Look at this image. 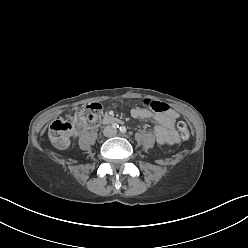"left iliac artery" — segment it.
I'll use <instances>...</instances> for the list:
<instances>
[{
	"mask_svg": "<svg viewBox=\"0 0 248 248\" xmlns=\"http://www.w3.org/2000/svg\"><path fill=\"white\" fill-rule=\"evenodd\" d=\"M126 131H127V129H126L125 126H121V127H120V132H121V133H126Z\"/></svg>",
	"mask_w": 248,
	"mask_h": 248,
	"instance_id": "44dca946",
	"label": "left iliac artery"
}]
</instances>
